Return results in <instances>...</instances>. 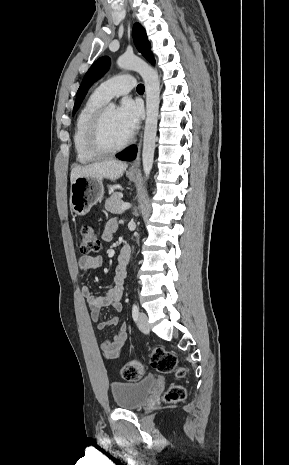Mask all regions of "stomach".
<instances>
[{
  "label": "stomach",
  "mask_w": 289,
  "mask_h": 465,
  "mask_svg": "<svg viewBox=\"0 0 289 465\" xmlns=\"http://www.w3.org/2000/svg\"><path fill=\"white\" fill-rule=\"evenodd\" d=\"M131 181L138 179L137 173H128ZM104 195V186L100 177H78L71 183L70 206L79 216L86 215L90 209L100 202Z\"/></svg>",
  "instance_id": "0dacf381"
}]
</instances>
